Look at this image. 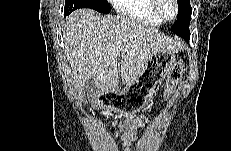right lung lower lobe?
Segmentation results:
<instances>
[{
  "mask_svg": "<svg viewBox=\"0 0 231 151\" xmlns=\"http://www.w3.org/2000/svg\"><path fill=\"white\" fill-rule=\"evenodd\" d=\"M70 13H68V12H66L65 10H64V16L66 17L67 15H69Z\"/></svg>",
  "mask_w": 231,
  "mask_h": 151,
  "instance_id": "1",
  "label": "right lung lower lobe"
}]
</instances>
